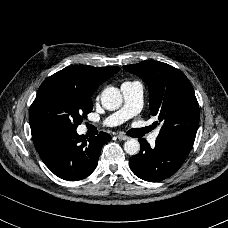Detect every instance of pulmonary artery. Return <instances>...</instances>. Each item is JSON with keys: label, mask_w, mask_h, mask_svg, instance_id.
<instances>
[{"label": "pulmonary artery", "mask_w": 228, "mask_h": 228, "mask_svg": "<svg viewBox=\"0 0 228 228\" xmlns=\"http://www.w3.org/2000/svg\"><path fill=\"white\" fill-rule=\"evenodd\" d=\"M143 89V84L140 81H126L122 83L121 91L124 97L123 107L104 119L100 125L106 127L118 126L135 115L142 106ZM158 133V131H155L148 136L147 140L150 144H155Z\"/></svg>", "instance_id": "1"}]
</instances>
